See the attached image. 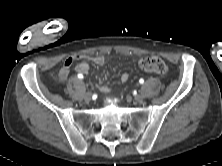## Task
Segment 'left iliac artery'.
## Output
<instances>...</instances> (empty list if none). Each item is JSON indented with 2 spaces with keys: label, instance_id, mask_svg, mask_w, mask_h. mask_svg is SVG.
<instances>
[{
  "label": "left iliac artery",
  "instance_id": "44dca946",
  "mask_svg": "<svg viewBox=\"0 0 222 166\" xmlns=\"http://www.w3.org/2000/svg\"><path fill=\"white\" fill-rule=\"evenodd\" d=\"M139 83H140V84H143V83H144V80L141 78V79L139 80Z\"/></svg>",
  "mask_w": 222,
  "mask_h": 166
}]
</instances>
